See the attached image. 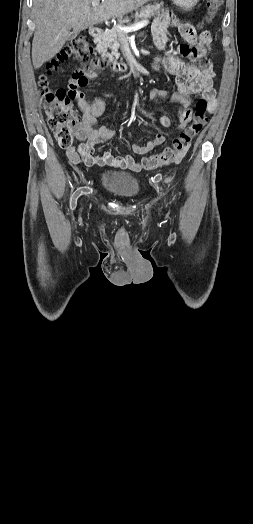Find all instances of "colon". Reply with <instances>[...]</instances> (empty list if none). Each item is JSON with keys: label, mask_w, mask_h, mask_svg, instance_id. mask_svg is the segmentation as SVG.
<instances>
[{"label": "colon", "mask_w": 253, "mask_h": 524, "mask_svg": "<svg viewBox=\"0 0 253 524\" xmlns=\"http://www.w3.org/2000/svg\"><path fill=\"white\" fill-rule=\"evenodd\" d=\"M220 6L221 0H207L208 17L213 18L218 13ZM68 58L81 62L83 66L74 70L73 74L68 77V90L51 88L47 79L48 73ZM108 61L109 56L106 53H99L94 57L89 37L81 34L71 41L53 63L48 65L47 73L41 75L39 86L42 105L48 118L49 127L54 132L61 148H72L75 141V131L81 127V122L74 109V101L81 94L80 88L86 86L90 80L102 78ZM209 116L206 100L199 99L190 125L161 153L144 158L142 160L143 168L151 170L179 162L185 155L192 139L201 132L207 123Z\"/></svg>", "instance_id": "obj_1"}]
</instances>
